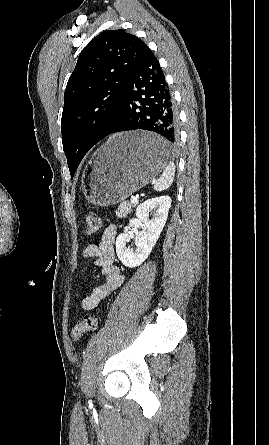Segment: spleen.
Returning <instances> with one entry per match:
<instances>
[{
    "mask_svg": "<svg viewBox=\"0 0 269 445\" xmlns=\"http://www.w3.org/2000/svg\"><path fill=\"white\" fill-rule=\"evenodd\" d=\"M175 165L173 162H169L164 168L163 173L154 182V189L156 191H162L168 189L174 179Z\"/></svg>",
    "mask_w": 269,
    "mask_h": 445,
    "instance_id": "1",
    "label": "spleen"
}]
</instances>
